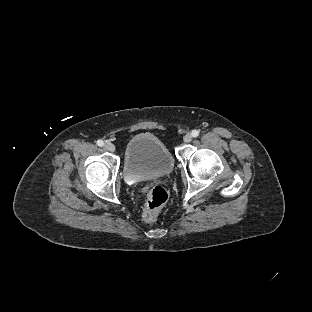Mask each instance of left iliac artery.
I'll return each mask as SVG.
<instances>
[{"instance_id": "44dca946", "label": "left iliac artery", "mask_w": 312, "mask_h": 312, "mask_svg": "<svg viewBox=\"0 0 312 312\" xmlns=\"http://www.w3.org/2000/svg\"><path fill=\"white\" fill-rule=\"evenodd\" d=\"M191 134H192L193 137H197L199 135V131L198 130H193Z\"/></svg>"}]
</instances>
